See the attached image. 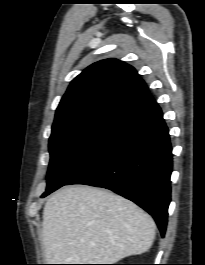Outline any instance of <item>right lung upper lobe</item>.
<instances>
[{
	"mask_svg": "<svg viewBox=\"0 0 205 265\" xmlns=\"http://www.w3.org/2000/svg\"><path fill=\"white\" fill-rule=\"evenodd\" d=\"M155 104L131 65L101 60L73 79L56 110L52 133L103 122L125 126Z\"/></svg>",
	"mask_w": 205,
	"mask_h": 265,
	"instance_id": "obj_1",
	"label": "right lung upper lobe"
}]
</instances>
